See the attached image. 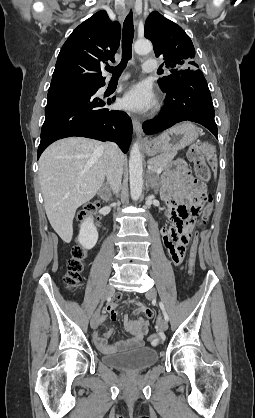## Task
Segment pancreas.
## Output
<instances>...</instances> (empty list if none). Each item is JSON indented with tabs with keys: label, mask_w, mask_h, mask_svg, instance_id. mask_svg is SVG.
Returning a JSON list of instances; mask_svg holds the SVG:
<instances>
[{
	"label": "pancreas",
	"mask_w": 255,
	"mask_h": 418,
	"mask_svg": "<svg viewBox=\"0 0 255 418\" xmlns=\"http://www.w3.org/2000/svg\"><path fill=\"white\" fill-rule=\"evenodd\" d=\"M177 152L165 153L154 158H151L148 163L150 166L156 170L158 168L165 169L171 163L173 158L176 156Z\"/></svg>",
	"instance_id": "cf45deb5"
}]
</instances>
